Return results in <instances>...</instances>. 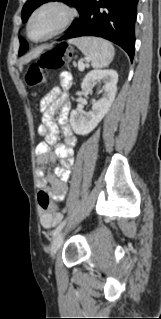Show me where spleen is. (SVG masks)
Wrapping results in <instances>:
<instances>
[{"mask_svg": "<svg viewBox=\"0 0 161 319\" xmlns=\"http://www.w3.org/2000/svg\"><path fill=\"white\" fill-rule=\"evenodd\" d=\"M72 43L80 49L91 62L93 68L107 67L113 60L115 50L113 45L97 37H81L72 40Z\"/></svg>", "mask_w": 161, "mask_h": 319, "instance_id": "spleen-1", "label": "spleen"}]
</instances>
